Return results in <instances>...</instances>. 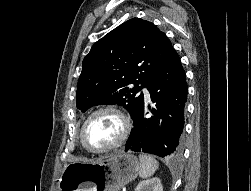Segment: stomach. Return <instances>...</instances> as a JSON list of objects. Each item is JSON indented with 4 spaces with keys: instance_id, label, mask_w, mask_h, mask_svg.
Instances as JSON below:
<instances>
[{
    "instance_id": "0dacf381",
    "label": "stomach",
    "mask_w": 251,
    "mask_h": 191,
    "mask_svg": "<svg viewBox=\"0 0 251 191\" xmlns=\"http://www.w3.org/2000/svg\"><path fill=\"white\" fill-rule=\"evenodd\" d=\"M140 163L136 155L117 151L101 155L96 161H74L68 163L60 179V191H91L83 189L86 185L94 191H119L123 185L135 179Z\"/></svg>"
}]
</instances>
